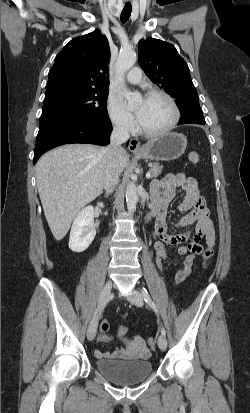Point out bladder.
I'll return each mask as SVG.
<instances>
[{"instance_id": "obj_1", "label": "bladder", "mask_w": 250, "mask_h": 413, "mask_svg": "<svg viewBox=\"0 0 250 413\" xmlns=\"http://www.w3.org/2000/svg\"><path fill=\"white\" fill-rule=\"evenodd\" d=\"M99 372L120 385H133L144 381L152 373V363L147 359L100 358L95 361Z\"/></svg>"}]
</instances>
